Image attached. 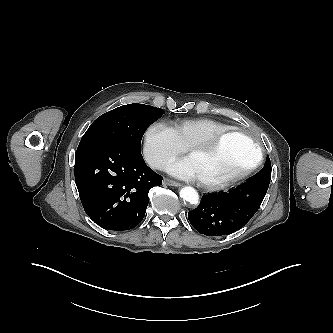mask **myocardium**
I'll list each match as a JSON object with an SVG mask.
<instances>
[{
    "mask_svg": "<svg viewBox=\"0 0 333 333\" xmlns=\"http://www.w3.org/2000/svg\"><path fill=\"white\" fill-rule=\"evenodd\" d=\"M233 134H240L247 137L255 147L256 150V157L253 162L246 167L245 169L241 170L240 172L236 173L235 175L220 181H207L204 179L199 178V183L208 190H222L232 186L233 184L239 182L240 180L246 178L250 175L261 163L263 157V150L260 143L257 139L252 136L246 130L240 128H230L224 131H221L209 138L199 140L194 142L187 148L188 154H192L193 152L200 151V152H208L213 150L218 146V144L227 136Z\"/></svg>",
    "mask_w": 333,
    "mask_h": 333,
    "instance_id": "f54148a6",
    "label": "myocardium"
}]
</instances>
